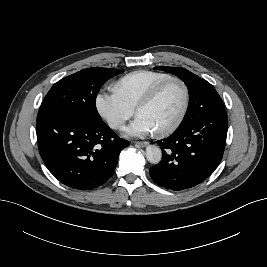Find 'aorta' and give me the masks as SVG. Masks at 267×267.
<instances>
[{"label": "aorta", "instance_id": "1", "mask_svg": "<svg viewBox=\"0 0 267 267\" xmlns=\"http://www.w3.org/2000/svg\"><path fill=\"white\" fill-rule=\"evenodd\" d=\"M146 158L152 164H158L162 159V151L158 146L149 145L146 148Z\"/></svg>", "mask_w": 267, "mask_h": 267}]
</instances>
